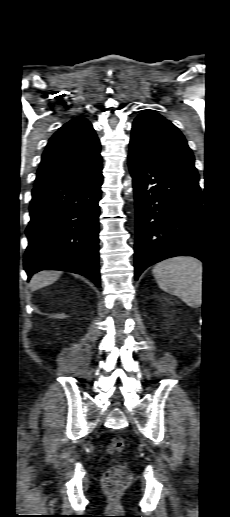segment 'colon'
Here are the masks:
<instances>
[{
    "label": "colon",
    "mask_w": 230,
    "mask_h": 517,
    "mask_svg": "<svg viewBox=\"0 0 230 517\" xmlns=\"http://www.w3.org/2000/svg\"><path fill=\"white\" fill-rule=\"evenodd\" d=\"M125 443L121 437H114L111 439L107 451L109 453L120 452L124 449ZM131 480V475L128 469L121 464H115L110 467L103 477V488L105 492L111 496H117L124 490Z\"/></svg>",
    "instance_id": "5ec220e1"
}]
</instances>
